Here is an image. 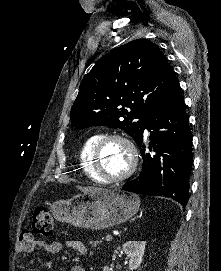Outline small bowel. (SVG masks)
Returning a JSON list of instances; mask_svg holds the SVG:
<instances>
[{
    "mask_svg": "<svg viewBox=\"0 0 221 271\" xmlns=\"http://www.w3.org/2000/svg\"><path fill=\"white\" fill-rule=\"evenodd\" d=\"M65 245L73 249L80 255L87 254L88 250L85 244L80 240H68ZM36 249H40L50 254H58L63 249V244L60 241H48L45 239H31L30 241H21L17 245L19 253H31ZM61 271H85V269L78 264L72 265L69 268H62Z\"/></svg>",
    "mask_w": 221,
    "mask_h": 271,
    "instance_id": "1",
    "label": "small bowel"
}]
</instances>
